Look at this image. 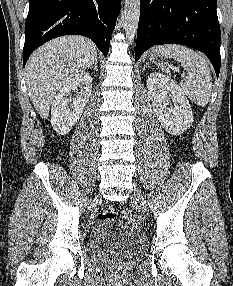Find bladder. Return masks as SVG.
<instances>
[{
  "label": "bladder",
  "instance_id": "obj_1",
  "mask_svg": "<svg viewBox=\"0 0 233 286\" xmlns=\"http://www.w3.org/2000/svg\"><path fill=\"white\" fill-rule=\"evenodd\" d=\"M142 232L131 224L112 219L100 220L94 227L91 239V251L95 254L109 249H123L132 255H138L144 250Z\"/></svg>",
  "mask_w": 233,
  "mask_h": 286
}]
</instances>
